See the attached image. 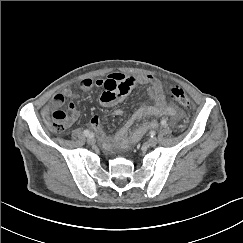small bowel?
<instances>
[{"mask_svg":"<svg viewBox=\"0 0 243 243\" xmlns=\"http://www.w3.org/2000/svg\"><path fill=\"white\" fill-rule=\"evenodd\" d=\"M135 85L147 87V93L152 104L140 105L117 131L113 141L104 133L101 127L99 114L93 113L91 115L90 126L98 134L103 145L107 148H111L113 144L128 146L141 138L147 130L157 127L156 121H147L130 132V129L137 120L158 116H169L173 119H177L180 116L176 107L167 104L160 82L151 75L126 76L121 73H112L106 78H99L96 80L85 78L78 82V88L81 91H89L94 86L102 88L103 92L100 96V103L106 107L120 103ZM66 98H74V94L70 89L56 94L51 102L43 109V114L47 115L58 110L63 105ZM68 110V126H70L78 120L79 111L73 102L69 103ZM122 114L123 111L121 109L118 108L114 110V115L121 116Z\"/></svg>","mask_w":243,"mask_h":243,"instance_id":"obj_1","label":"small bowel"}]
</instances>
